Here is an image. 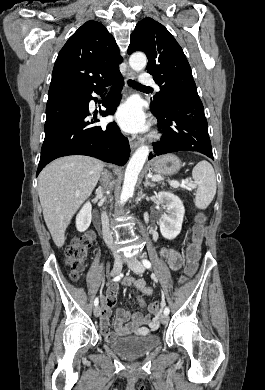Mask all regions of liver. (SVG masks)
I'll return each mask as SVG.
<instances>
[{
    "mask_svg": "<svg viewBox=\"0 0 265 390\" xmlns=\"http://www.w3.org/2000/svg\"><path fill=\"white\" fill-rule=\"evenodd\" d=\"M104 164L89 156L59 158L39 175L38 194L47 228L57 247L65 242V231L73 215L91 195Z\"/></svg>",
    "mask_w": 265,
    "mask_h": 390,
    "instance_id": "1",
    "label": "liver"
}]
</instances>
